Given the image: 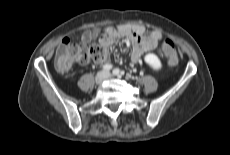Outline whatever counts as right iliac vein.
I'll list each match as a JSON object with an SVG mask.
<instances>
[{
    "label": "right iliac vein",
    "instance_id": "right-iliac-vein-1",
    "mask_svg": "<svg viewBox=\"0 0 230 155\" xmlns=\"http://www.w3.org/2000/svg\"><path fill=\"white\" fill-rule=\"evenodd\" d=\"M105 78H106V73L105 72H99L95 77L96 84H98V85L101 84Z\"/></svg>",
    "mask_w": 230,
    "mask_h": 155
}]
</instances>
